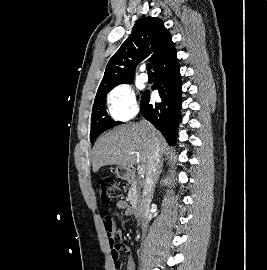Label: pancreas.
<instances>
[{
  "label": "pancreas",
  "instance_id": "obj_1",
  "mask_svg": "<svg viewBox=\"0 0 267 270\" xmlns=\"http://www.w3.org/2000/svg\"><path fill=\"white\" fill-rule=\"evenodd\" d=\"M131 187L128 191V201L132 205H136L140 199V188L138 187L137 181H131Z\"/></svg>",
  "mask_w": 267,
  "mask_h": 270
}]
</instances>
